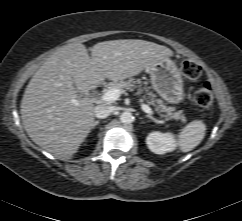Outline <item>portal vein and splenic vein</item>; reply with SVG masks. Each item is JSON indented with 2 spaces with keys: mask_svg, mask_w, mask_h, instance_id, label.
Listing matches in <instances>:
<instances>
[{
  "mask_svg": "<svg viewBox=\"0 0 242 221\" xmlns=\"http://www.w3.org/2000/svg\"><path fill=\"white\" fill-rule=\"evenodd\" d=\"M121 95V91L119 89H111L106 91L102 96H101V100L105 101V102H114L116 100H118V98ZM141 108L144 112L148 113V114H153L152 109L146 105V104H141Z\"/></svg>",
  "mask_w": 242,
  "mask_h": 221,
  "instance_id": "1",
  "label": "portal vein and splenic vein"
}]
</instances>
